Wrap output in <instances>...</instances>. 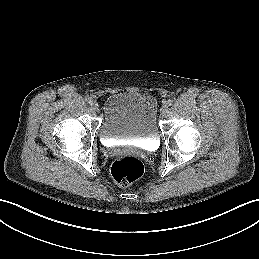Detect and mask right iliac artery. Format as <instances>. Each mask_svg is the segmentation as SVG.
<instances>
[{
	"mask_svg": "<svg viewBox=\"0 0 259 259\" xmlns=\"http://www.w3.org/2000/svg\"><path fill=\"white\" fill-rule=\"evenodd\" d=\"M85 100H86V102H88V103H91V102L93 101L92 98H91V97H88V96L85 98Z\"/></svg>",
	"mask_w": 259,
	"mask_h": 259,
	"instance_id": "1",
	"label": "right iliac artery"
}]
</instances>
